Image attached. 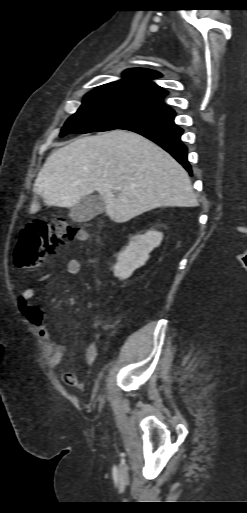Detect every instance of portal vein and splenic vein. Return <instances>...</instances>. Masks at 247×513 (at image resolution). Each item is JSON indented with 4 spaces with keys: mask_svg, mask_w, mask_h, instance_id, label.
<instances>
[{
    "mask_svg": "<svg viewBox=\"0 0 247 513\" xmlns=\"http://www.w3.org/2000/svg\"><path fill=\"white\" fill-rule=\"evenodd\" d=\"M115 189L118 191V190H120V189H121V187H116Z\"/></svg>",
    "mask_w": 247,
    "mask_h": 513,
    "instance_id": "obj_1",
    "label": "portal vein and splenic vein"
}]
</instances>
